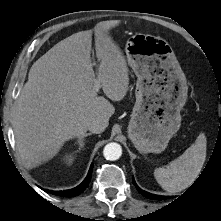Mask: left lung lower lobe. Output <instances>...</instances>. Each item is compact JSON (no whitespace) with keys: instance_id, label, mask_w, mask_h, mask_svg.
I'll return each instance as SVG.
<instances>
[{"instance_id":"0a47b994","label":"left lung lower lobe","mask_w":221,"mask_h":221,"mask_svg":"<svg viewBox=\"0 0 221 221\" xmlns=\"http://www.w3.org/2000/svg\"><path fill=\"white\" fill-rule=\"evenodd\" d=\"M133 184L136 186L137 190L143 195L145 196L146 198L148 199H152V200H162V199H167L169 198L168 196H159V195H155V194H151V193H148L144 190H141L137 184L135 183L134 179H133Z\"/></svg>"}]
</instances>
